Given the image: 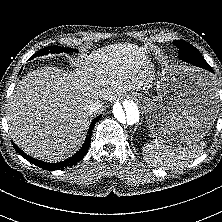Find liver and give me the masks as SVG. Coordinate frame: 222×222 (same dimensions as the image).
Listing matches in <instances>:
<instances>
[{
	"label": "liver",
	"mask_w": 222,
	"mask_h": 222,
	"mask_svg": "<svg viewBox=\"0 0 222 222\" xmlns=\"http://www.w3.org/2000/svg\"><path fill=\"white\" fill-rule=\"evenodd\" d=\"M153 67L142 48L124 43L95 50L74 71L44 67L28 73L8 103L13 141L43 161L70 157L84 141L89 103L148 91L155 79Z\"/></svg>",
	"instance_id": "obj_1"
}]
</instances>
